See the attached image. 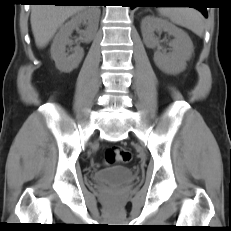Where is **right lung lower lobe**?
<instances>
[{"mask_svg":"<svg viewBox=\"0 0 231 231\" xmlns=\"http://www.w3.org/2000/svg\"><path fill=\"white\" fill-rule=\"evenodd\" d=\"M32 3H52L55 5H71L73 3H79L82 0H29Z\"/></svg>","mask_w":231,"mask_h":231,"instance_id":"1","label":"right lung lower lobe"}]
</instances>
